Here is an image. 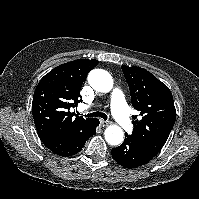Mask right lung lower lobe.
<instances>
[{"mask_svg": "<svg viewBox=\"0 0 199 199\" xmlns=\"http://www.w3.org/2000/svg\"><path fill=\"white\" fill-rule=\"evenodd\" d=\"M99 120L94 118L84 129L74 134H50L40 137L43 144L53 153L68 157L77 154L89 139L96 132Z\"/></svg>", "mask_w": 199, "mask_h": 199, "instance_id": "obj_1", "label": "right lung lower lobe"}]
</instances>
